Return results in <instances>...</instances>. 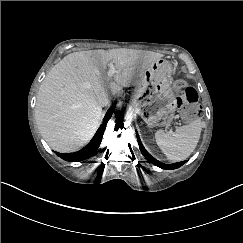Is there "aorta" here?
<instances>
[{"label": "aorta", "mask_w": 243, "mask_h": 243, "mask_svg": "<svg viewBox=\"0 0 243 243\" xmlns=\"http://www.w3.org/2000/svg\"><path fill=\"white\" fill-rule=\"evenodd\" d=\"M114 110L118 116L124 117L130 113L131 107L127 101L121 100L115 104Z\"/></svg>", "instance_id": "1"}]
</instances>
